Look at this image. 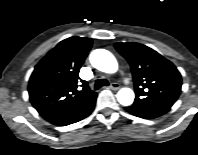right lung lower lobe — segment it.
<instances>
[{"instance_id":"98d812e1","label":"right lung lower lobe","mask_w":198,"mask_h":155,"mask_svg":"<svg viewBox=\"0 0 198 155\" xmlns=\"http://www.w3.org/2000/svg\"><path fill=\"white\" fill-rule=\"evenodd\" d=\"M96 98L97 93H93L88 97L84 98L72 108L45 117V120L57 126H66L78 122L91 114L96 103Z\"/></svg>"}]
</instances>
